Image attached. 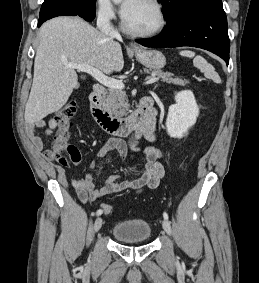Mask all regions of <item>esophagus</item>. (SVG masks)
<instances>
[{
	"label": "esophagus",
	"instance_id": "esophagus-1",
	"mask_svg": "<svg viewBox=\"0 0 259 283\" xmlns=\"http://www.w3.org/2000/svg\"><path fill=\"white\" fill-rule=\"evenodd\" d=\"M130 47L134 50V51H137V50H139V47H138V45L137 44H135V43H130Z\"/></svg>",
	"mask_w": 259,
	"mask_h": 283
}]
</instances>
